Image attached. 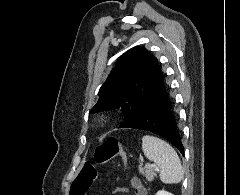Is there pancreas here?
<instances>
[{"mask_svg": "<svg viewBox=\"0 0 240 195\" xmlns=\"http://www.w3.org/2000/svg\"><path fill=\"white\" fill-rule=\"evenodd\" d=\"M139 171L145 175L147 181H153L154 177L157 175L155 167H151V165H145V167L139 165Z\"/></svg>", "mask_w": 240, "mask_h": 195, "instance_id": "cf45deb5", "label": "pancreas"}]
</instances>
